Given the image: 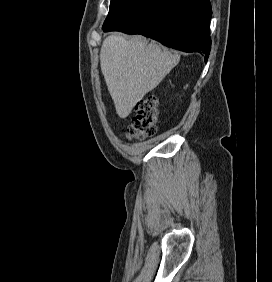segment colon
<instances>
[{"mask_svg":"<svg viewBox=\"0 0 272 282\" xmlns=\"http://www.w3.org/2000/svg\"><path fill=\"white\" fill-rule=\"evenodd\" d=\"M158 119L157 99L148 96L139 101L134 108V116L131 118L126 131L129 140H144L153 136L156 131Z\"/></svg>","mask_w":272,"mask_h":282,"instance_id":"colon-1","label":"colon"}]
</instances>
